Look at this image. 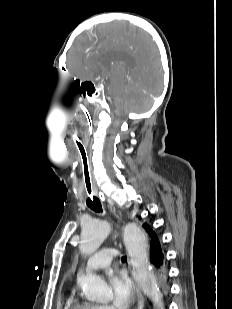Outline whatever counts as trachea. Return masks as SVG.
I'll list each match as a JSON object with an SVG mask.
<instances>
[{
	"label": "trachea",
	"mask_w": 232,
	"mask_h": 309,
	"mask_svg": "<svg viewBox=\"0 0 232 309\" xmlns=\"http://www.w3.org/2000/svg\"><path fill=\"white\" fill-rule=\"evenodd\" d=\"M73 141L75 143V146L79 152L80 159H81L83 184H84V189L87 194L86 204L91 210L98 212V213L102 212L101 202L95 196V192H94V186H93V181H92V174H91L90 161L88 157L87 148L84 145L83 141L78 136H73ZM121 260L127 261V257L123 256Z\"/></svg>",
	"instance_id": "3493384b"
}]
</instances>
